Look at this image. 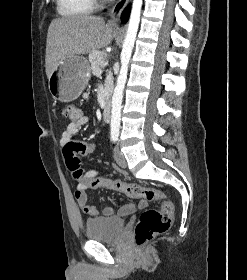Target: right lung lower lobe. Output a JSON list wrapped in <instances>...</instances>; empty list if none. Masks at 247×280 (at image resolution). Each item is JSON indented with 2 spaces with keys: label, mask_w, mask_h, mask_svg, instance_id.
<instances>
[{
  "label": "right lung lower lobe",
  "mask_w": 247,
  "mask_h": 280,
  "mask_svg": "<svg viewBox=\"0 0 247 280\" xmlns=\"http://www.w3.org/2000/svg\"><path fill=\"white\" fill-rule=\"evenodd\" d=\"M129 14H130V7H127L122 13L123 22H126L128 20Z\"/></svg>",
  "instance_id": "1"
}]
</instances>
